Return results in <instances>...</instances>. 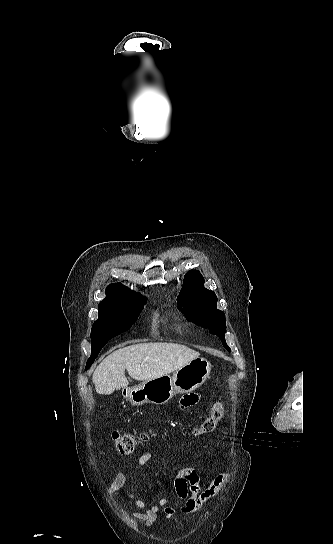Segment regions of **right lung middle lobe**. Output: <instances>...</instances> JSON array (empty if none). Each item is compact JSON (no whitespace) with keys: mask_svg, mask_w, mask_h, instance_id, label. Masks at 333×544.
<instances>
[{"mask_svg":"<svg viewBox=\"0 0 333 544\" xmlns=\"http://www.w3.org/2000/svg\"><path fill=\"white\" fill-rule=\"evenodd\" d=\"M146 299L137 296L132 299L99 303L98 319L91 330L92 352L86 367H90L102 347L113 337L127 331L136 322Z\"/></svg>","mask_w":333,"mask_h":544,"instance_id":"dd1d6c3e","label":"right lung middle lobe"}]
</instances>
